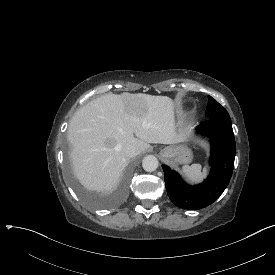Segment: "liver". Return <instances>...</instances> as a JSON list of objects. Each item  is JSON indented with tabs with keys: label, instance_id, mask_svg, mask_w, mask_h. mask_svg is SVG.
Segmentation results:
<instances>
[{
	"label": "liver",
	"instance_id": "6515ba94",
	"mask_svg": "<svg viewBox=\"0 0 275 275\" xmlns=\"http://www.w3.org/2000/svg\"><path fill=\"white\" fill-rule=\"evenodd\" d=\"M187 137L185 128L176 125L171 97L103 94L81 107L69 123L72 173L86 190L107 196L120 185L128 162L126 146L134 145L140 154L150 143L170 144Z\"/></svg>",
	"mask_w": 275,
	"mask_h": 275
}]
</instances>
